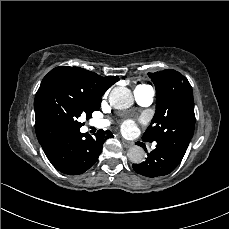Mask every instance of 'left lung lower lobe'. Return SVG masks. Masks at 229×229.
I'll return each instance as SVG.
<instances>
[{"instance_id":"obj_1","label":"left lung lower lobe","mask_w":229,"mask_h":229,"mask_svg":"<svg viewBox=\"0 0 229 229\" xmlns=\"http://www.w3.org/2000/svg\"><path fill=\"white\" fill-rule=\"evenodd\" d=\"M136 144L146 150L144 143L137 142ZM183 156L168 145L157 143L156 148L151 153H148V157L144 162L133 164L132 167L136 173L143 176L150 178L161 177L171 173L181 162Z\"/></svg>"}]
</instances>
